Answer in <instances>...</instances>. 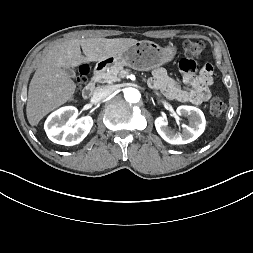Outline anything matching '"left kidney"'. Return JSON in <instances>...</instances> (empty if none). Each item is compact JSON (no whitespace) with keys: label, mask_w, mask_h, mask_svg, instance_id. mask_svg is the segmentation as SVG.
I'll list each match as a JSON object with an SVG mask.
<instances>
[{"label":"left kidney","mask_w":253,"mask_h":253,"mask_svg":"<svg viewBox=\"0 0 253 253\" xmlns=\"http://www.w3.org/2000/svg\"><path fill=\"white\" fill-rule=\"evenodd\" d=\"M177 114L188 117L189 125H183L182 133H175L168 128V122L163 117L155 120V127L158 134L170 144H187L196 140L205 129V117L203 112L194 106H179Z\"/></svg>","instance_id":"obj_1"}]
</instances>
